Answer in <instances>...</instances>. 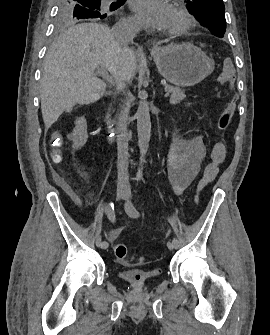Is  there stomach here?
Masks as SVG:
<instances>
[{
	"label": "stomach",
	"instance_id": "0dacf381",
	"mask_svg": "<svg viewBox=\"0 0 270 335\" xmlns=\"http://www.w3.org/2000/svg\"><path fill=\"white\" fill-rule=\"evenodd\" d=\"M150 52L159 74L174 86H195L214 70V60L191 42L156 46Z\"/></svg>",
	"mask_w": 270,
	"mask_h": 335
}]
</instances>
